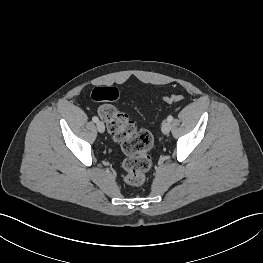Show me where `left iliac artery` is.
I'll return each mask as SVG.
<instances>
[{
    "mask_svg": "<svg viewBox=\"0 0 263 263\" xmlns=\"http://www.w3.org/2000/svg\"><path fill=\"white\" fill-rule=\"evenodd\" d=\"M167 120H168L169 122H171V121L173 120V116L169 115V116L167 117Z\"/></svg>",
    "mask_w": 263,
    "mask_h": 263,
    "instance_id": "1",
    "label": "left iliac artery"
}]
</instances>
